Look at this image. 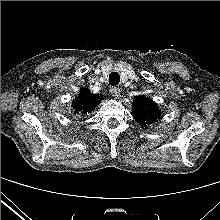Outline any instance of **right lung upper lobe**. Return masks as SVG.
Returning <instances> with one entry per match:
<instances>
[{
	"mask_svg": "<svg viewBox=\"0 0 220 220\" xmlns=\"http://www.w3.org/2000/svg\"><path fill=\"white\" fill-rule=\"evenodd\" d=\"M101 100L102 98H100L98 94H92L89 89L81 88L80 93L77 97H75L74 101L72 102V107L75 113L87 115L96 108Z\"/></svg>",
	"mask_w": 220,
	"mask_h": 220,
	"instance_id": "right-lung-upper-lobe-1",
	"label": "right lung upper lobe"
}]
</instances>
